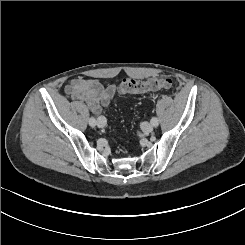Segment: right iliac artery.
<instances>
[{"label":"right iliac artery","mask_w":245,"mask_h":245,"mask_svg":"<svg viewBox=\"0 0 245 245\" xmlns=\"http://www.w3.org/2000/svg\"><path fill=\"white\" fill-rule=\"evenodd\" d=\"M89 124H90L92 127L96 125V120H95L94 117H91V118L89 119Z\"/></svg>","instance_id":"82829eb1"}]
</instances>
